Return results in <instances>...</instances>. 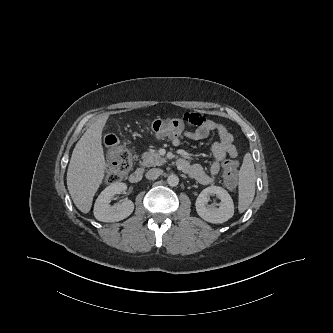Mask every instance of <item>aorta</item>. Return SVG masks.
I'll return each mask as SVG.
<instances>
[{"label":"aorta","instance_id":"obj_1","mask_svg":"<svg viewBox=\"0 0 333 333\" xmlns=\"http://www.w3.org/2000/svg\"><path fill=\"white\" fill-rule=\"evenodd\" d=\"M167 183H168L169 186H172V187L177 186L178 183H179L178 176L175 175V174L169 175L168 178H167Z\"/></svg>","mask_w":333,"mask_h":333}]
</instances>
